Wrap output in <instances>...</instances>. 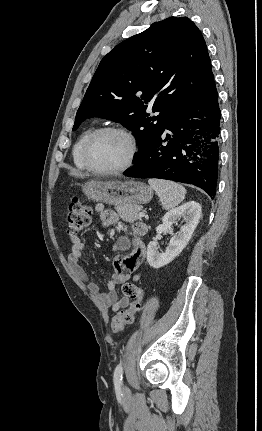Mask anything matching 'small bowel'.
<instances>
[{
	"label": "small bowel",
	"mask_w": 262,
	"mask_h": 431,
	"mask_svg": "<svg viewBox=\"0 0 262 431\" xmlns=\"http://www.w3.org/2000/svg\"><path fill=\"white\" fill-rule=\"evenodd\" d=\"M96 211L101 212V222L105 226H112L119 222L117 215L113 212H104L101 204L96 206ZM146 228V224L143 222L129 223L125 227V234L115 240L113 250L125 254L115 260V274L104 290H101L97 283L89 281L88 273L81 266L86 242L79 236L68 237L71 243L68 261L72 271L82 282L87 283L91 294L112 311L123 309L129 303L127 297L118 294L117 286L128 280L136 282L141 278V274L137 271L145 257V244L142 237Z\"/></svg>",
	"instance_id": "obj_1"
}]
</instances>
